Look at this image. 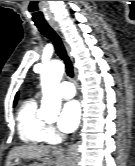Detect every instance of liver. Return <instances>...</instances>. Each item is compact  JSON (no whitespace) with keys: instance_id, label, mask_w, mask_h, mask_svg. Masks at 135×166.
<instances>
[{"instance_id":"1","label":"liver","mask_w":135,"mask_h":166,"mask_svg":"<svg viewBox=\"0 0 135 166\" xmlns=\"http://www.w3.org/2000/svg\"><path fill=\"white\" fill-rule=\"evenodd\" d=\"M52 154V156H55V161H52L48 158L49 154ZM45 157L47 161L44 162V164L51 166L52 164H55L56 166H64V155L60 150H57L55 148L49 147V146H43V145H22L18 147H14L7 158L6 166H9L11 164V161L13 159L19 160L27 159V160H33V159H42Z\"/></svg>"}]
</instances>
